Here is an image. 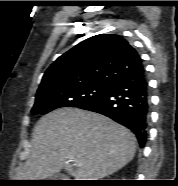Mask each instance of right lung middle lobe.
<instances>
[{
    "label": "right lung middle lobe",
    "mask_w": 178,
    "mask_h": 186,
    "mask_svg": "<svg viewBox=\"0 0 178 186\" xmlns=\"http://www.w3.org/2000/svg\"><path fill=\"white\" fill-rule=\"evenodd\" d=\"M109 84L90 83L37 92L32 114L45 115L61 107H79L101 95Z\"/></svg>",
    "instance_id": "right-lung-middle-lobe-1"
}]
</instances>
